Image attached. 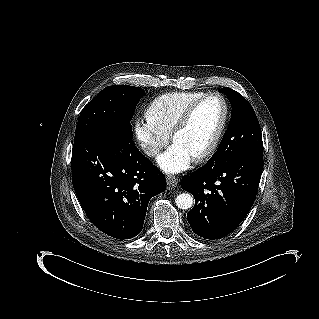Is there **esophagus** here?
<instances>
[{
	"mask_svg": "<svg viewBox=\"0 0 319 319\" xmlns=\"http://www.w3.org/2000/svg\"><path fill=\"white\" fill-rule=\"evenodd\" d=\"M166 182H167V185H169L170 187H173L178 184V178L173 175H169L166 177Z\"/></svg>",
	"mask_w": 319,
	"mask_h": 319,
	"instance_id": "34e87169",
	"label": "esophagus"
}]
</instances>
